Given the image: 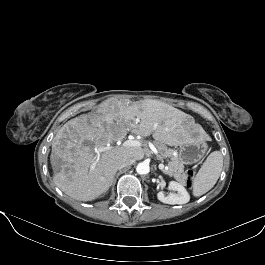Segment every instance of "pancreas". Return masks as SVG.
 I'll list each match as a JSON object with an SVG mask.
<instances>
[{
	"instance_id": "obj_1",
	"label": "pancreas",
	"mask_w": 265,
	"mask_h": 265,
	"mask_svg": "<svg viewBox=\"0 0 265 265\" xmlns=\"http://www.w3.org/2000/svg\"><path fill=\"white\" fill-rule=\"evenodd\" d=\"M156 147L159 151L160 159H167V166L162 170L165 174L173 176L178 181L186 180L187 176L184 172V165L179 160L177 155H174V150L167 148L162 143H156Z\"/></svg>"
}]
</instances>
